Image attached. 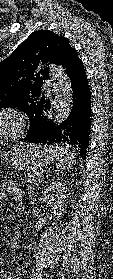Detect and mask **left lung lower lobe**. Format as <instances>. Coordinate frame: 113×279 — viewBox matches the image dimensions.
<instances>
[{
  "label": "left lung lower lobe",
  "instance_id": "obj_1",
  "mask_svg": "<svg viewBox=\"0 0 113 279\" xmlns=\"http://www.w3.org/2000/svg\"><path fill=\"white\" fill-rule=\"evenodd\" d=\"M62 67L71 81L73 91V106L66 120L56 124L50 112V99L44 97L36 107L34 120L26 138V143L34 144H64L72 146L85 159L89 145L91 127V92L87 75L81 59L73 50Z\"/></svg>",
  "mask_w": 113,
  "mask_h": 279
}]
</instances>
